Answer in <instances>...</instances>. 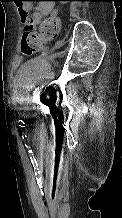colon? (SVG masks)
<instances>
[{
    "label": "colon",
    "instance_id": "obj_1",
    "mask_svg": "<svg viewBox=\"0 0 122 218\" xmlns=\"http://www.w3.org/2000/svg\"><path fill=\"white\" fill-rule=\"evenodd\" d=\"M22 15L25 20V27L21 40V51L25 55H31L40 51L47 42L53 40L57 36L60 24L57 18L49 17L42 22L37 31L34 29L33 21L28 17L27 12L23 11Z\"/></svg>",
    "mask_w": 122,
    "mask_h": 218
}]
</instances>
